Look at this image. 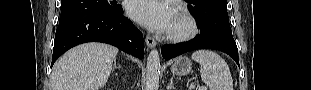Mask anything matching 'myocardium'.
<instances>
[{"label":"myocardium","instance_id":"1","mask_svg":"<svg viewBox=\"0 0 311 90\" xmlns=\"http://www.w3.org/2000/svg\"><path fill=\"white\" fill-rule=\"evenodd\" d=\"M182 28L177 31L166 32L167 40L173 42H183L192 39L198 32V25L194 17L185 9L176 10Z\"/></svg>","mask_w":311,"mask_h":90}]
</instances>
